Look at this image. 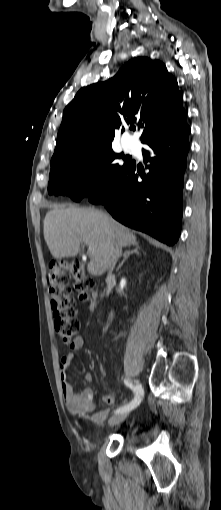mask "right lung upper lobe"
Returning a JSON list of instances; mask_svg holds the SVG:
<instances>
[{"instance_id": "right-lung-upper-lobe-1", "label": "right lung upper lobe", "mask_w": 221, "mask_h": 510, "mask_svg": "<svg viewBox=\"0 0 221 510\" xmlns=\"http://www.w3.org/2000/svg\"><path fill=\"white\" fill-rule=\"evenodd\" d=\"M175 78L158 60L137 57L113 77L81 88L63 112L51 165L67 153L111 145L124 126L144 128L148 136L186 122Z\"/></svg>"}]
</instances>
